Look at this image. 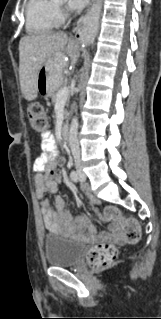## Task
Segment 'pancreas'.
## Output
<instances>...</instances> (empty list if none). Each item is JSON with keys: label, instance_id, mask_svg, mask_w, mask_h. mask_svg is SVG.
<instances>
[{"label": "pancreas", "instance_id": "cf45deb5", "mask_svg": "<svg viewBox=\"0 0 161 319\" xmlns=\"http://www.w3.org/2000/svg\"><path fill=\"white\" fill-rule=\"evenodd\" d=\"M62 86H63V83L61 84V86L59 87V88H57V90H56V92H54L53 93V95H52V101H53V103H56V101H57V93H58V91L60 90V89H62ZM68 99H66V106L68 105ZM68 115V112L66 111L65 112V117Z\"/></svg>", "mask_w": 161, "mask_h": 319}]
</instances>
